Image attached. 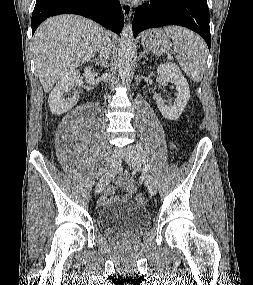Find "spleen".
<instances>
[{"label":"spleen","mask_w":253,"mask_h":285,"mask_svg":"<svg viewBox=\"0 0 253 285\" xmlns=\"http://www.w3.org/2000/svg\"><path fill=\"white\" fill-rule=\"evenodd\" d=\"M164 31L173 40L174 51L179 56L182 70L195 82L203 78L207 59V47L200 36L183 27H166Z\"/></svg>","instance_id":"3e777b00"}]
</instances>
